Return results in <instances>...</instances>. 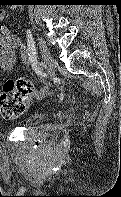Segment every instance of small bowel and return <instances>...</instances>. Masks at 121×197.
Segmentation results:
<instances>
[{
  "instance_id": "1",
  "label": "small bowel",
  "mask_w": 121,
  "mask_h": 197,
  "mask_svg": "<svg viewBox=\"0 0 121 197\" xmlns=\"http://www.w3.org/2000/svg\"><path fill=\"white\" fill-rule=\"evenodd\" d=\"M5 15V11L0 9V21ZM18 45L21 46L22 50L19 60L26 64L30 61L28 49L22 43L20 36L10 32L7 27L0 25V69L9 71L16 65L18 59L15 57L14 51ZM48 90V85H44L41 89L34 88L30 98L34 97L36 99H41L47 94Z\"/></svg>"
}]
</instances>
